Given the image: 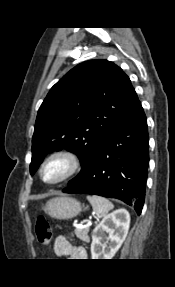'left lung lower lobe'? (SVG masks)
<instances>
[{"label":"left lung lower lobe","mask_w":175,"mask_h":287,"mask_svg":"<svg viewBox=\"0 0 175 287\" xmlns=\"http://www.w3.org/2000/svg\"><path fill=\"white\" fill-rule=\"evenodd\" d=\"M149 165V136L140 101L103 139L87 173L62 191L122 200L140 215Z\"/></svg>","instance_id":"obj_1"}]
</instances>
